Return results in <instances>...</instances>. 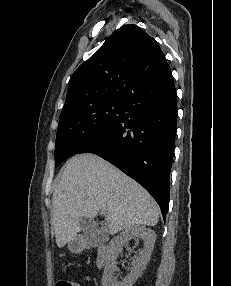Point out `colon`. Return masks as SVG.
<instances>
[{"mask_svg": "<svg viewBox=\"0 0 231 286\" xmlns=\"http://www.w3.org/2000/svg\"><path fill=\"white\" fill-rule=\"evenodd\" d=\"M56 286H79V284L75 281H60L56 284Z\"/></svg>", "mask_w": 231, "mask_h": 286, "instance_id": "obj_1", "label": "colon"}]
</instances>
